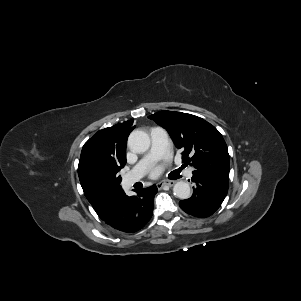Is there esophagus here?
I'll list each match as a JSON object with an SVG mask.
<instances>
[{"mask_svg":"<svg viewBox=\"0 0 301 301\" xmlns=\"http://www.w3.org/2000/svg\"><path fill=\"white\" fill-rule=\"evenodd\" d=\"M175 184V181L173 180H167L164 182L157 183L158 188H163L164 186L172 187Z\"/></svg>","mask_w":301,"mask_h":301,"instance_id":"34e87169","label":"esophagus"}]
</instances>
